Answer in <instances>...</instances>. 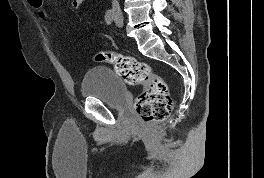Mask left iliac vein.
I'll list each match as a JSON object with an SVG mask.
<instances>
[{"mask_svg": "<svg viewBox=\"0 0 264 178\" xmlns=\"http://www.w3.org/2000/svg\"><path fill=\"white\" fill-rule=\"evenodd\" d=\"M115 24L118 27H122V25H123V18H122V16H116L115 17Z\"/></svg>", "mask_w": 264, "mask_h": 178, "instance_id": "left-iliac-vein-1", "label": "left iliac vein"}]
</instances>
